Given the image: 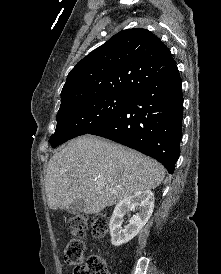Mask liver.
<instances>
[{
  "label": "liver",
  "instance_id": "obj_1",
  "mask_svg": "<svg viewBox=\"0 0 221 274\" xmlns=\"http://www.w3.org/2000/svg\"><path fill=\"white\" fill-rule=\"evenodd\" d=\"M165 177L157 161L120 144L85 135L54 154L45 173L50 209H67L76 199L84 213L98 214L136 192L155 189Z\"/></svg>",
  "mask_w": 221,
  "mask_h": 274
}]
</instances>
